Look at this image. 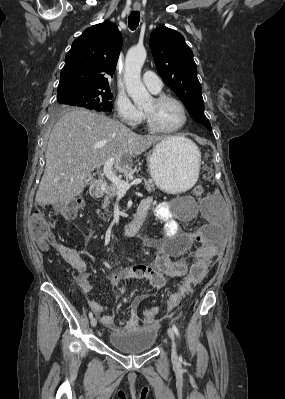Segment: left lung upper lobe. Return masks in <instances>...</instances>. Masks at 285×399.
Here are the masks:
<instances>
[{"instance_id":"obj_1","label":"left lung upper lobe","mask_w":285,"mask_h":399,"mask_svg":"<svg viewBox=\"0 0 285 399\" xmlns=\"http://www.w3.org/2000/svg\"><path fill=\"white\" fill-rule=\"evenodd\" d=\"M149 45L161 78L184 103L191 117L211 130L210 122L204 115L202 88L193 52L183 35L161 26L153 30Z\"/></svg>"}]
</instances>
